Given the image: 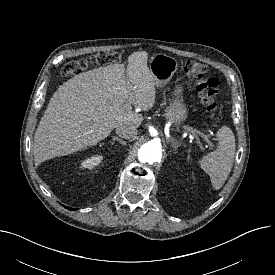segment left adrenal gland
I'll return each instance as SVG.
<instances>
[{
  "label": "left adrenal gland",
  "mask_w": 275,
  "mask_h": 275,
  "mask_svg": "<svg viewBox=\"0 0 275 275\" xmlns=\"http://www.w3.org/2000/svg\"><path fill=\"white\" fill-rule=\"evenodd\" d=\"M167 141L172 143V147H173L175 150H177V148L180 146L179 143H178L176 140H174V139H169V138H167Z\"/></svg>",
  "instance_id": "left-adrenal-gland-1"
}]
</instances>
